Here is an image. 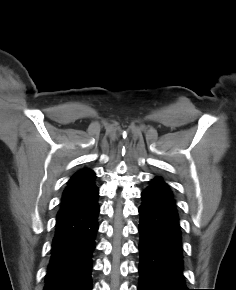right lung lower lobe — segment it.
Segmentation results:
<instances>
[{"label":"right lung lower lobe","instance_id":"1","mask_svg":"<svg viewBox=\"0 0 236 290\" xmlns=\"http://www.w3.org/2000/svg\"><path fill=\"white\" fill-rule=\"evenodd\" d=\"M96 197L88 204L57 215L44 290H91L92 257L98 230Z\"/></svg>","mask_w":236,"mask_h":290}]
</instances>
